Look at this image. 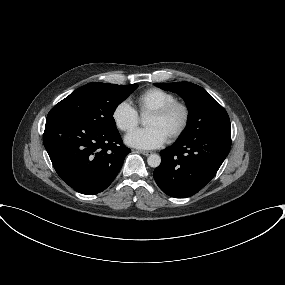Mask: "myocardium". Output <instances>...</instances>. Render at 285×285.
<instances>
[{"label":"myocardium","instance_id":"1","mask_svg":"<svg viewBox=\"0 0 285 285\" xmlns=\"http://www.w3.org/2000/svg\"><path fill=\"white\" fill-rule=\"evenodd\" d=\"M174 110H179L181 112V121L178 127L167 136V140L170 142L180 138L186 131L191 115L189 106L183 101L174 100L149 112V114L164 117Z\"/></svg>","mask_w":285,"mask_h":285}]
</instances>
